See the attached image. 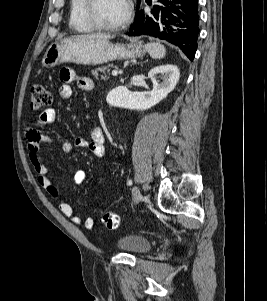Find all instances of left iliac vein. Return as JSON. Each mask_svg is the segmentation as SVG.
<instances>
[{
	"label": "left iliac vein",
	"mask_w": 267,
	"mask_h": 301,
	"mask_svg": "<svg viewBox=\"0 0 267 301\" xmlns=\"http://www.w3.org/2000/svg\"><path fill=\"white\" fill-rule=\"evenodd\" d=\"M141 193L137 186L132 188V199L134 203H138L141 200Z\"/></svg>",
	"instance_id": "4c4485c4"
}]
</instances>
